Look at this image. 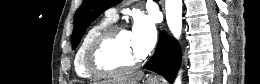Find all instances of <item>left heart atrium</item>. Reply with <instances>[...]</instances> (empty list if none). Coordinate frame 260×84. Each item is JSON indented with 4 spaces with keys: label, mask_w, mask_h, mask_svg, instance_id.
I'll return each instance as SVG.
<instances>
[{
    "label": "left heart atrium",
    "mask_w": 260,
    "mask_h": 84,
    "mask_svg": "<svg viewBox=\"0 0 260 84\" xmlns=\"http://www.w3.org/2000/svg\"><path fill=\"white\" fill-rule=\"evenodd\" d=\"M132 43L138 56L148 55L157 40V30L153 15L140 13L136 15L132 30L130 31Z\"/></svg>",
    "instance_id": "left-heart-atrium-1"
}]
</instances>
